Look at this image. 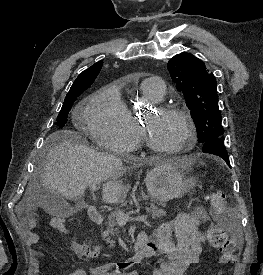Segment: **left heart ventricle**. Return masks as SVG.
Segmentation results:
<instances>
[{
    "mask_svg": "<svg viewBox=\"0 0 263 275\" xmlns=\"http://www.w3.org/2000/svg\"><path fill=\"white\" fill-rule=\"evenodd\" d=\"M143 122L153 143L161 148H176L187 135L186 123L176 115L154 111L147 115Z\"/></svg>",
    "mask_w": 263,
    "mask_h": 275,
    "instance_id": "obj_1",
    "label": "left heart ventricle"
}]
</instances>
